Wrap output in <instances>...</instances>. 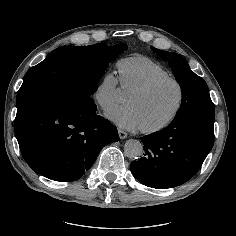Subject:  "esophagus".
I'll list each match as a JSON object with an SVG mask.
<instances>
[{
    "mask_svg": "<svg viewBox=\"0 0 236 236\" xmlns=\"http://www.w3.org/2000/svg\"><path fill=\"white\" fill-rule=\"evenodd\" d=\"M118 134H119V137H120L121 139L127 138V133L124 132V131L121 130V129H118Z\"/></svg>",
    "mask_w": 236,
    "mask_h": 236,
    "instance_id": "1",
    "label": "esophagus"
}]
</instances>
